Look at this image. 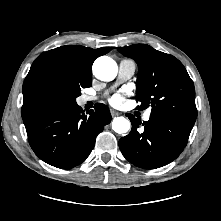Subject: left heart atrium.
<instances>
[{
    "label": "left heart atrium",
    "instance_id": "obj_1",
    "mask_svg": "<svg viewBox=\"0 0 221 221\" xmlns=\"http://www.w3.org/2000/svg\"><path fill=\"white\" fill-rule=\"evenodd\" d=\"M110 103L113 106H120L122 103V97L120 95H114L111 99H110Z\"/></svg>",
    "mask_w": 221,
    "mask_h": 221
}]
</instances>
